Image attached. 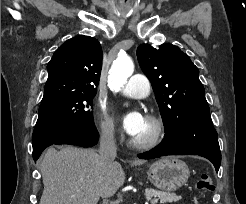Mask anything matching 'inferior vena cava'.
<instances>
[{
	"label": "inferior vena cava",
	"mask_w": 246,
	"mask_h": 204,
	"mask_svg": "<svg viewBox=\"0 0 246 204\" xmlns=\"http://www.w3.org/2000/svg\"><path fill=\"white\" fill-rule=\"evenodd\" d=\"M116 143L112 130H106L103 132L100 138V148H99V157L100 160L105 165H110L114 162L117 153H116Z\"/></svg>",
	"instance_id": "obj_1"
}]
</instances>
